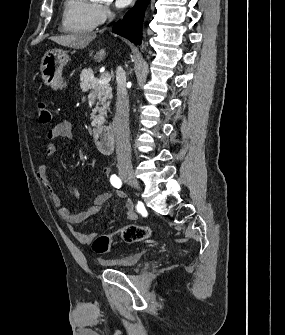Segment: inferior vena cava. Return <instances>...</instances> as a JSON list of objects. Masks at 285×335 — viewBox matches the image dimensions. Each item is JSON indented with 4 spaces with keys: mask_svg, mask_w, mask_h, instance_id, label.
Listing matches in <instances>:
<instances>
[{
    "mask_svg": "<svg viewBox=\"0 0 285 335\" xmlns=\"http://www.w3.org/2000/svg\"><path fill=\"white\" fill-rule=\"evenodd\" d=\"M108 18L112 20L114 14L108 10ZM117 100L114 118V132L116 138V152L119 160L131 162L130 130H129V100L126 90V76L122 68H117Z\"/></svg>",
    "mask_w": 285,
    "mask_h": 335,
    "instance_id": "1",
    "label": "inferior vena cava"
}]
</instances>
